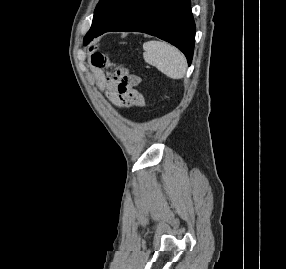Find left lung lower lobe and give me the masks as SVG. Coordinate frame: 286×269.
<instances>
[{"instance_id":"left-lung-lower-lobe-1","label":"left lung lower lobe","mask_w":286,"mask_h":269,"mask_svg":"<svg viewBox=\"0 0 286 269\" xmlns=\"http://www.w3.org/2000/svg\"><path fill=\"white\" fill-rule=\"evenodd\" d=\"M110 31H136L157 36L180 49L188 64H191L195 23L190 0H143L123 18L102 29L94 37Z\"/></svg>"}]
</instances>
